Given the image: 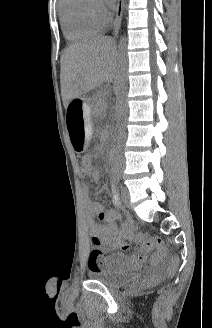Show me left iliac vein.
Instances as JSON below:
<instances>
[{
    "label": "left iliac vein",
    "mask_w": 212,
    "mask_h": 328,
    "mask_svg": "<svg viewBox=\"0 0 212 328\" xmlns=\"http://www.w3.org/2000/svg\"><path fill=\"white\" fill-rule=\"evenodd\" d=\"M122 200L128 208L131 207L129 191L125 187L122 189Z\"/></svg>",
    "instance_id": "left-iliac-vein-1"
}]
</instances>
